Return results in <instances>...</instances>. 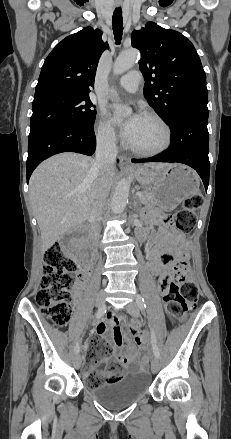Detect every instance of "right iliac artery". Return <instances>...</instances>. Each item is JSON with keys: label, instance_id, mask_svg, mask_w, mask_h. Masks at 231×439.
Returning a JSON list of instances; mask_svg holds the SVG:
<instances>
[{"label": "right iliac artery", "instance_id": "82829eb1", "mask_svg": "<svg viewBox=\"0 0 231 439\" xmlns=\"http://www.w3.org/2000/svg\"><path fill=\"white\" fill-rule=\"evenodd\" d=\"M102 311H103L102 309H99V310H98V312H97V314H96V318H99V313H100V312H102ZM103 312L105 313V312H106V310H105V311H103ZM74 350H75V353H78V352L80 351V346H79V343H77V344H76V346H75V349H74Z\"/></svg>", "mask_w": 231, "mask_h": 439}]
</instances>
